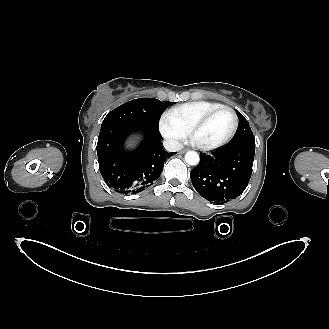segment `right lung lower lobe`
<instances>
[{
	"instance_id": "right-lung-lower-lobe-1",
	"label": "right lung lower lobe",
	"mask_w": 329,
	"mask_h": 329,
	"mask_svg": "<svg viewBox=\"0 0 329 329\" xmlns=\"http://www.w3.org/2000/svg\"><path fill=\"white\" fill-rule=\"evenodd\" d=\"M142 132L144 140L135 150H126L124 141L133 132ZM158 129L110 123L101 127L97 142L100 173L114 191L136 194L153 184L163 171L167 157Z\"/></svg>"
}]
</instances>
